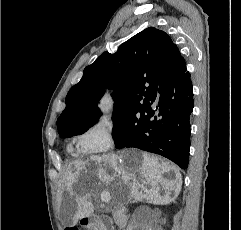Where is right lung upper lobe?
<instances>
[{"mask_svg": "<svg viewBox=\"0 0 241 230\" xmlns=\"http://www.w3.org/2000/svg\"><path fill=\"white\" fill-rule=\"evenodd\" d=\"M181 60L169 35L154 27L121 44L116 53L104 52L68 92L66 108L57 120L58 132L98 119L97 101L105 89L113 90L114 110L150 101L162 78Z\"/></svg>", "mask_w": 241, "mask_h": 230, "instance_id": "obj_1", "label": "right lung upper lobe"}]
</instances>
